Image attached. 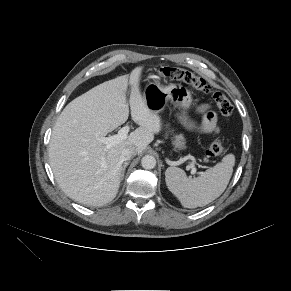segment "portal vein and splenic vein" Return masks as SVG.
I'll return each instance as SVG.
<instances>
[{
	"label": "portal vein and splenic vein",
	"mask_w": 291,
	"mask_h": 291,
	"mask_svg": "<svg viewBox=\"0 0 291 291\" xmlns=\"http://www.w3.org/2000/svg\"><path fill=\"white\" fill-rule=\"evenodd\" d=\"M130 130V127L124 126L122 127L119 131L118 134L113 135V136H109V137H99L97 140L104 144L106 146V148H110L118 143H120L121 141H123L124 139L127 138L128 132ZM194 163L190 164V168L191 170V174H195L196 173V169L194 168Z\"/></svg>",
	"instance_id": "1"
}]
</instances>
